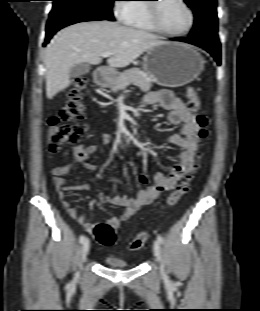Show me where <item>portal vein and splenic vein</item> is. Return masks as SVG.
I'll return each mask as SVG.
<instances>
[{
    "label": "portal vein and splenic vein",
    "instance_id": "obj_1",
    "mask_svg": "<svg viewBox=\"0 0 260 311\" xmlns=\"http://www.w3.org/2000/svg\"><path fill=\"white\" fill-rule=\"evenodd\" d=\"M111 55H112L111 53L105 52V53L102 54V57L103 58H107V57H110Z\"/></svg>",
    "mask_w": 260,
    "mask_h": 311
}]
</instances>
